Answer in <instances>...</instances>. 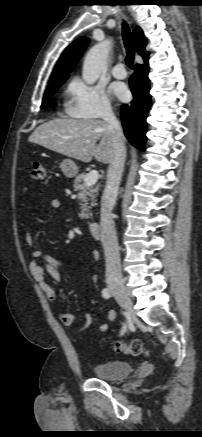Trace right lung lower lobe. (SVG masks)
<instances>
[{
	"label": "right lung lower lobe",
	"instance_id": "98d812e1",
	"mask_svg": "<svg viewBox=\"0 0 202 437\" xmlns=\"http://www.w3.org/2000/svg\"><path fill=\"white\" fill-rule=\"evenodd\" d=\"M144 65H136L129 84L134 99L121 106V119L124 133L129 142L140 150H145L146 118L150 107L148 58Z\"/></svg>",
	"mask_w": 202,
	"mask_h": 437
}]
</instances>
